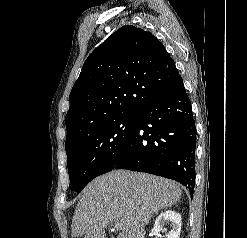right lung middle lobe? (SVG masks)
<instances>
[{"label":"right lung middle lobe","instance_id":"1","mask_svg":"<svg viewBox=\"0 0 247 238\" xmlns=\"http://www.w3.org/2000/svg\"><path fill=\"white\" fill-rule=\"evenodd\" d=\"M138 121L126 114L86 130L65 146L70 189L80 192L92 179L111 171Z\"/></svg>","mask_w":247,"mask_h":238}]
</instances>
